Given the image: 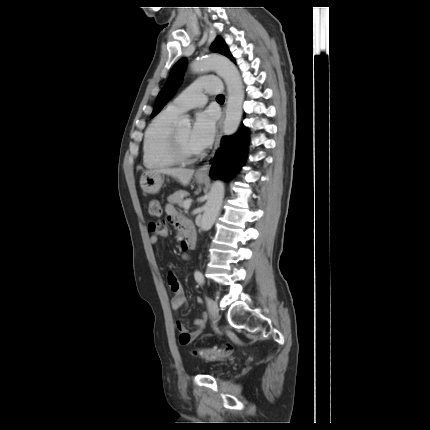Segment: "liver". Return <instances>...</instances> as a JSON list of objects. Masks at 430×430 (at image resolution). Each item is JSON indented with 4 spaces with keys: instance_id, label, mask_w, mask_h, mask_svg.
<instances>
[{
    "instance_id": "liver-1",
    "label": "liver",
    "mask_w": 430,
    "mask_h": 430,
    "mask_svg": "<svg viewBox=\"0 0 430 430\" xmlns=\"http://www.w3.org/2000/svg\"><path fill=\"white\" fill-rule=\"evenodd\" d=\"M145 173H160L166 174L179 180L184 186L188 185L193 174V169L186 168H163L145 171Z\"/></svg>"
}]
</instances>
